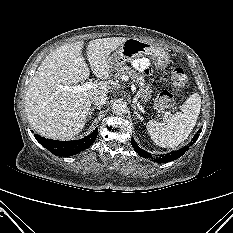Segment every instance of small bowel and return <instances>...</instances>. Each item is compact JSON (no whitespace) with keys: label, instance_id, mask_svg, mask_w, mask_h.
Listing matches in <instances>:
<instances>
[{"label":"small bowel","instance_id":"c3829d8e","mask_svg":"<svg viewBox=\"0 0 233 233\" xmlns=\"http://www.w3.org/2000/svg\"><path fill=\"white\" fill-rule=\"evenodd\" d=\"M132 66L144 74H150L152 71L149 60L144 57L134 59L132 61Z\"/></svg>","mask_w":233,"mask_h":233}]
</instances>
